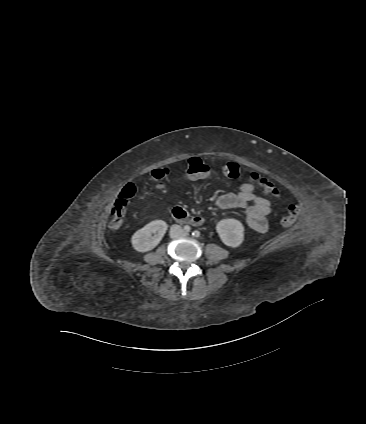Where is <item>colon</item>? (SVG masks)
Here are the masks:
<instances>
[{
    "label": "colon",
    "mask_w": 366,
    "mask_h": 424,
    "mask_svg": "<svg viewBox=\"0 0 366 424\" xmlns=\"http://www.w3.org/2000/svg\"><path fill=\"white\" fill-rule=\"evenodd\" d=\"M184 172L189 178H205L210 174V167L201 158L191 157L184 164ZM169 173L170 171L166 168L157 169L154 170L146 178L148 180L161 184L162 181L169 175ZM218 174L230 179H240L246 177L251 184L257 185L266 195L273 198H278L280 196L279 189L272 182L261 177L256 172L246 171L245 169L241 168L237 163L229 162L221 165L218 168ZM134 194L135 188L132 185H128L120 193L118 199L113 204L110 212V229L117 230L121 227L126 213L128 202ZM298 215V207L290 205L287 208L286 212L280 217L281 225L284 227L291 226L296 221Z\"/></svg>",
    "instance_id": "5ec220e1"
}]
</instances>
